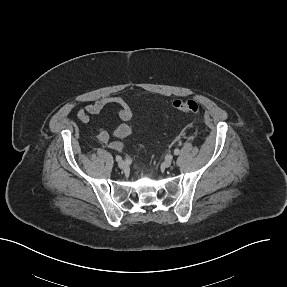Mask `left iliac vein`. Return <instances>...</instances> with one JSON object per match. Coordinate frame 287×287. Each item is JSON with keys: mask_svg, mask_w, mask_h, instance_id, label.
<instances>
[{"mask_svg": "<svg viewBox=\"0 0 287 287\" xmlns=\"http://www.w3.org/2000/svg\"><path fill=\"white\" fill-rule=\"evenodd\" d=\"M171 164H172V159L171 158H168V159H166L164 162H163V167L164 168H169L170 166H171Z\"/></svg>", "mask_w": 287, "mask_h": 287, "instance_id": "obj_1", "label": "left iliac vein"}]
</instances>
